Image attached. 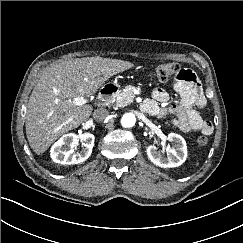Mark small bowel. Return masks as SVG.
<instances>
[{
    "instance_id": "obj_1",
    "label": "small bowel",
    "mask_w": 243,
    "mask_h": 243,
    "mask_svg": "<svg viewBox=\"0 0 243 243\" xmlns=\"http://www.w3.org/2000/svg\"><path fill=\"white\" fill-rule=\"evenodd\" d=\"M187 79H176L172 87L179 94V103L168 104L169 95L162 88L153 91L152 99L143 104V110L159 118L169 114L176 116V126L185 132L196 131L203 135H210L213 132V125L210 121L204 120L197 111L206 100L196 75L190 71Z\"/></svg>"
}]
</instances>
